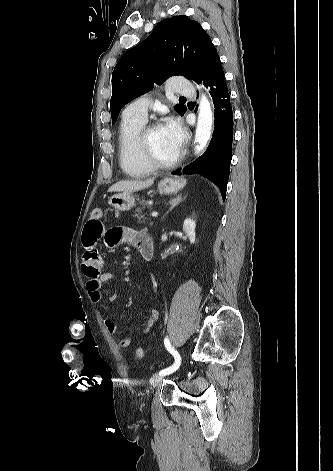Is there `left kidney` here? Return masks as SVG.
<instances>
[{"label":"left kidney","instance_id":"obj_1","mask_svg":"<svg viewBox=\"0 0 333 471\" xmlns=\"http://www.w3.org/2000/svg\"><path fill=\"white\" fill-rule=\"evenodd\" d=\"M196 222L191 218H186L183 224V231L189 237L190 243L193 244L195 242L196 233Z\"/></svg>","mask_w":333,"mask_h":471}]
</instances>
